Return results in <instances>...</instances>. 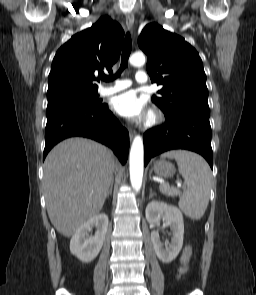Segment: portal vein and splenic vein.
Segmentation results:
<instances>
[{"mask_svg": "<svg viewBox=\"0 0 256 295\" xmlns=\"http://www.w3.org/2000/svg\"><path fill=\"white\" fill-rule=\"evenodd\" d=\"M177 185H178V187H181V184L180 183H178Z\"/></svg>", "mask_w": 256, "mask_h": 295, "instance_id": "portal-vein-and-splenic-vein-1", "label": "portal vein and splenic vein"}]
</instances>
